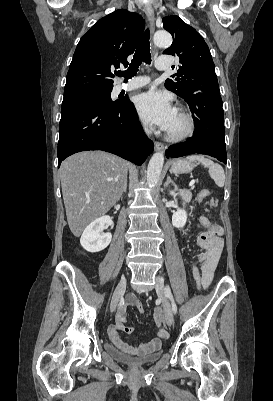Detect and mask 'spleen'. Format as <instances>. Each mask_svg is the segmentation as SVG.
<instances>
[{"instance_id": "1", "label": "spleen", "mask_w": 273, "mask_h": 401, "mask_svg": "<svg viewBox=\"0 0 273 401\" xmlns=\"http://www.w3.org/2000/svg\"><path fill=\"white\" fill-rule=\"evenodd\" d=\"M189 160H198L201 164H204L206 168H209L208 172L212 178H214L216 184L218 186H224L225 182V172L221 166V164H217V162H213L210 158H204L202 154H191V156H186Z\"/></svg>"}]
</instances>
